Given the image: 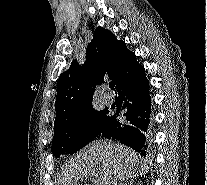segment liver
Returning <instances> with one entry per match:
<instances>
[{
	"label": "liver",
	"instance_id": "obj_1",
	"mask_svg": "<svg viewBox=\"0 0 207 185\" xmlns=\"http://www.w3.org/2000/svg\"><path fill=\"white\" fill-rule=\"evenodd\" d=\"M142 159L136 151L121 143L111 141H92L70 159L63 169V185H75L79 179L95 177L97 185H117L123 179H134L147 175V169L141 167Z\"/></svg>",
	"mask_w": 207,
	"mask_h": 185
}]
</instances>
